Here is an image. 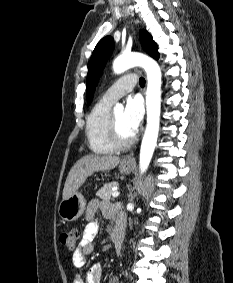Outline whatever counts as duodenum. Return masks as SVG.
Here are the masks:
<instances>
[{
	"mask_svg": "<svg viewBox=\"0 0 233 283\" xmlns=\"http://www.w3.org/2000/svg\"><path fill=\"white\" fill-rule=\"evenodd\" d=\"M123 239H124L123 224L118 223L112 234V241L117 255H119L122 251Z\"/></svg>",
	"mask_w": 233,
	"mask_h": 283,
	"instance_id": "obj_1",
	"label": "duodenum"
}]
</instances>
